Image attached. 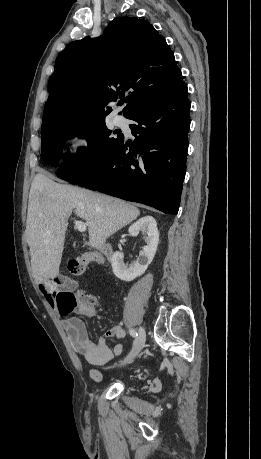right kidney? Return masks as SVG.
I'll return each instance as SVG.
<instances>
[{
  "instance_id": "1",
  "label": "right kidney",
  "mask_w": 261,
  "mask_h": 459,
  "mask_svg": "<svg viewBox=\"0 0 261 459\" xmlns=\"http://www.w3.org/2000/svg\"><path fill=\"white\" fill-rule=\"evenodd\" d=\"M140 231L146 232L148 236L145 240L146 245L143 247L136 261L128 266L123 261V253L116 251L112 256L111 264L113 273L120 280L130 282L136 277L141 276L155 256L159 242V231L156 220L152 216H145L132 224L128 229L131 236H137Z\"/></svg>"
}]
</instances>
